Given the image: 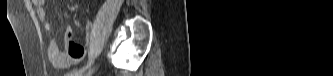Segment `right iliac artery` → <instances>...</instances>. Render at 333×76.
Returning <instances> with one entry per match:
<instances>
[{
  "instance_id": "right-iliac-artery-1",
  "label": "right iliac artery",
  "mask_w": 333,
  "mask_h": 76,
  "mask_svg": "<svg viewBox=\"0 0 333 76\" xmlns=\"http://www.w3.org/2000/svg\"><path fill=\"white\" fill-rule=\"evenodd\" d=\"M89 66H90V63L87 64L86 66H84L83 68L79 69V70H74L71 73V76H80Z\"/></svg>"
}]
</instances>
